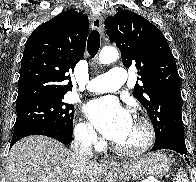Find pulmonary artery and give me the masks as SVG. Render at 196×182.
Segmentation results:
<instances>
[{
  "instance_id": "1",
  "label": "pulmonary artery",
  "mask_w": 196,
  "mask_h": 182,
  "mask_svg": "<svg viewBox=\"0 0 196 182\" xmlns=\"http://www.w3.org/2000/svg\"><path fill=\"white\" fill-rule=\"evenodd\" d=\"M126 77V72L122 68L113 67L106 74L92 79L87 89L94 93L114 92L124 85Z\"/></svg>"
}]
</instances>
